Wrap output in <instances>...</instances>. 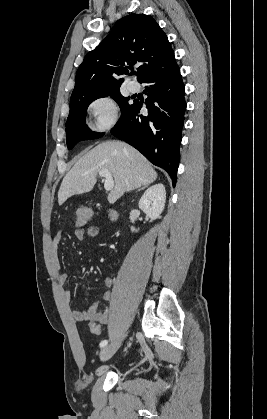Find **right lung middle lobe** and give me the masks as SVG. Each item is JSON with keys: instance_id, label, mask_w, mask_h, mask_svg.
<instances>
[{"instance_id": "right-lung-middle-lobe-1", "label": "right lung middle lobe", "mask_w": 267, "mask_h": 419, "mask_svg": "<svg viewBox=\"0 0 267 419\" xmlns=\"http://www.w3.org/2000/svg\"><path fill=\"white\" fill-rule=\"evenodd\" d=\"M110 96L121 109V118L127 113L131 105L130 98L123 97L120 90L85 96L78 100L70 101V112L66 122V142L68 149H72L79 141L100 138L103 133L92 132L86 126V111L88 105L94 100ZM120 118V119H121Z\"/></svg>"}]
</instances>
